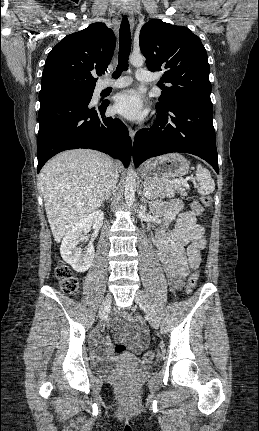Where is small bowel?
<instances>
[{
  "mask_svg": "<svg viewBox=\"0 0 259 431\" xmlns=\"http://www.w3.org/2000/svg\"><path fill=\"white\" fill-rule=\"evenodd\" d=\"M156 212L164 213V224L157 230L155 245L157 255L164 267L172 290H179L183 279L201 262V252L206 246L205 230L196 223L194 211H181V202L171 200L156 206ZM175 222L167 236L166 225ZM104 323L93 336V346L98 358H107L112 345L110 338L101 339L100 332L108 327ZM116 331V338L129 346L134 354H139L148 343V331L143 318L120 313V317L110 324Z\"/></svg>",
  "mask_w": 259,
  "mask_h": 431,
  "instance_id": "1",
  "label": "small bowel"
}]
</instances>
